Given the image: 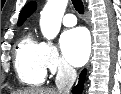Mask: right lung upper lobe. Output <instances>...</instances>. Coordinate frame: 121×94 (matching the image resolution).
<instances>
[{"label": "right lung upper lobe", "mask_w": 121, "mask_h": 94, "mask_svg": "<svg viewBox=\"0 0 121 94\" xmlns=\"http://www.w3.org/2000/svg\"><path fill=\"white\" fill-rule=\"evenodd\" d=\"M35 10L36 3L33 1L29 2L20 12L18 25H21Z\"/></svg>", "instance_id": "obj_1"}]
</instances>
